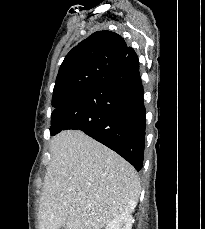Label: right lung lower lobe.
I'll return each mask as SVG.
<instances>
[{"label":"right lung lower lobe","mask_w":205,"mask_h":229,"mask_svg":"<svg viewBox=\"0 0 205 229\" xmlns=\"http://www.w3.org/2000/svg\"><path fill=\"white\" fill-rule=\"evenodd\" d=\"M66 129L83 131L141 170L145 107L138 57L132 48L117 68L53 111L51 135Z\"/></svg>","instance_id":"98d812e1"}]
</instances>
